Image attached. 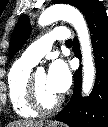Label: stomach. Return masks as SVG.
Returning a JSON list of instances; mask_svg holds the SVG:
<instances>
[{
  "instance_id": "1",
  "label": "stomach",
  "mask_w": 108,
  "mask_h": 127,
  "mask_svg": "<svg viewBox=\"0 0 108 127\" xmlns=\"http://www.w3.org/2000/svg\"><path fill=\"white\" fill-rule=\"evenodd\" d=\"M46 127H59V124H57L56 122H49ZM63 127V126H60Z\"/></svg>"
}]
</instances>
